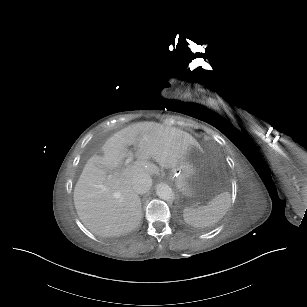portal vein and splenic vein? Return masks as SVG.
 I'll use <instances>...</instances> for the list:
<instances>
[{
    "label": "portal vein and splenic vein",
    "mask_w": 307,
    "mask_h": 307,
    "mask_svg": "<svg viewBox=\"0 0 307 307\" xmlns=\"http://www.w3.org/2000/svg\"><path fill=\"white\" fill-rule=\"evenodd\" d=\"M133 159H134V153L130 152L129 157L127 159H125L123 166L130 165L132 163Z\"/></svg>",
    "instance_id": "portal-vein-and-splenic-vein-1"
}]
</instances>
